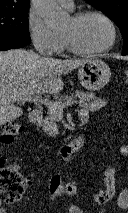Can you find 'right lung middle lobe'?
Returning a JSON list of instances; mask_svg holds the SVG:
<instances>
[{
    "mask_svg": "<svg viewBox=\"0 0 128 213\" xmlns=\"http://www.w3.org/2000/svg\"><path fill=\"white\" fill-rule=\"evenodd\" d=\"M28 10L29 6L0 7V41L31 43Z\"/></svg>",
    "mask_w": 128,
    "mask_h": 213,
    "instance_id": "obj_1",
    "label": "right lung middle lobe"
}]
</instances>
